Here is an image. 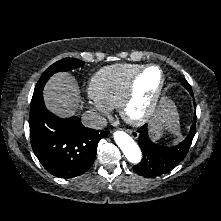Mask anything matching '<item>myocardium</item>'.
Returning <instances> with one entry per match:
<instances>
[{
    "mask_svg": "<svg viewBox=\"0 0 221 221\" xmlns=\"http://www.w3.org/2000/svg\"><path fill=\"white\" fill-rule=\"evenodd\" d=\"M155 68L159 71L160 81L157 89L152 95L147 107L138 114H132L131 108L136 101V87L139 78L149 69ZM165 86V74L162 68L156 64H148L138 69L131 77L126 92L118 106L121 117L133 126H140L147 123L156 112Z\"/></svg>",
    "mask_w": 221,
    "mask_h": 221,
    "instance_id": "1",
    "label": "myocardium"
}]
</instances>
